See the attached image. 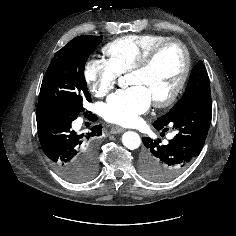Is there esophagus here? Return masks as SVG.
Masks as SVG:
<instances>
[{"instance_id":"esophagus-1","label":"esophagus","mask_w":236,"mask_h":236,"mask_svg":"<svg viewBox=\"0 0 236 236\" xmlns=\"http://www.w3.org/2000/svg\"><path fill=\"white\" fill-rule=\"evenodd\" d=\"M124 131H125V129L122 128V127H119V126H113V127L111 128V133H112V134H118V133H122V132H124Z\"/></svg>"}]
</instances>
